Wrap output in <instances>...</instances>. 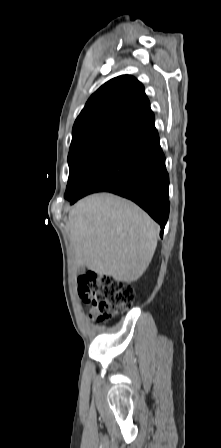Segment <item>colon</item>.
<instances>
[{
  "mask_svg": "<svg viewBox=\"0 0 221 448\" xmlns=\"http://www.w3.org/2000/svg\"><path fill=\"white\" fill-rule=\"evenodd\" d=\"M78 295L84 303L92 305L101 321L129 308L134 301L131 285L95 272H87L79 277Z\"/></svg>",
  "mask_w": 221,
  "mask_h": 448,
  "instance_id": "colon-1",
  "label": "colon"
}]
</instances>
